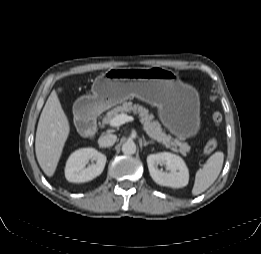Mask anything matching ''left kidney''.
<instances>
[{"instance_id":"5707ae66","label":"left kidney","mask_w":261,"mask_h":254,"mask_svg":"<svg viewBox=\"0 0 261 254\" xmlns=\"http://www.w3.org/2000/svg\"><path fill=\"white\" fill-rule=\"evenodd\" d=\"M147 165L152 179L161 186L182 188L188 184L189 171L180 156L169 152L150 154L147 156ZM165 165L168 172L158 168Z\"/></svg>"}]
</instances>
